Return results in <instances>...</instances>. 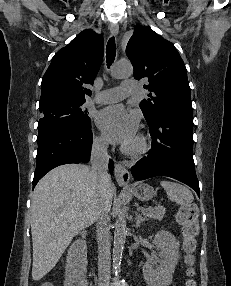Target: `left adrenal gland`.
Here are the masks:
<instances>
[{"instance_id":"obj_1","label":"left adrenal gland","mask_w":231,"mask_h":286,"mask_svg":"<svg viewBox=\"0 0 231 286\" xmlns=\"http://www.w3.org/2000/svg\"><path fill=\"white\" fill-rule=\"evenodd\" d=\"M145 221V218L142 217L140 213H136L135 216V225L136 227H140L141 223Z\"/></svg>"}]
</instances>
